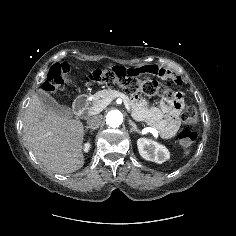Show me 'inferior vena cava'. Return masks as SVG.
Masks as SVG:
<instances>
[{
	"label": "inferior vena cava",
	"mask_w": 236,
	"mask_h": 236,
	"mask_svg": "<svg viewBox=\"0 0 236 236\" xmlns=\"http://www.w3.org/2000/svg\"><path fill=\"white\" fill-rule=\"evenodd\" d=\"M102 119H103L102 115H96V116L88 118L87 124L89 125V127L98 128L100 124L102 123Z\"/></svg>",
	"instance_id": "1"
}]
</instances>
